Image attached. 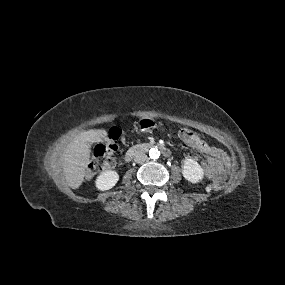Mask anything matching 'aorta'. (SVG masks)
<instances>
[{
  "label": "aorta",
  "instance_id": "obj_1",
  "mask_svg": "<svg viewBox=\"0 0 285 285\" xmlns=\"http://www.w3.org/2000/svg\"><path fill=\"white\" fill-rule=\"evenodd\" d=\"M149 156L152 159H158L160 156V151L157 148H151L149 150Z\"/></svg>",
  "mask_w": 285,
  "mask_h": 285
}]
</instances>
